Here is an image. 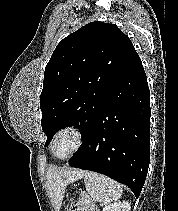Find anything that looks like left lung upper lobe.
I'll list each match as a JSON object with an SVG mask.
<instances>
[{"label":"left lung upper lobe","mask_w":178,"mask_h":211,"mask_svg":"<svg viewBox=\"0 0 178 211\" xmlns=\"http://www.w3.org/2000/svg\"><path fill=\"white\" fill-rule=\"evenodd\" d=\"M136 53L116 25L89 23L65 37L45 67L40 95L41 125L47 146L55 133L68 126L87 137L104 108L107 94Z\"/></svg>","instance_id":"5c2ea615"}]
</instances>
